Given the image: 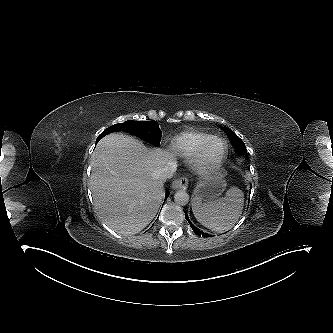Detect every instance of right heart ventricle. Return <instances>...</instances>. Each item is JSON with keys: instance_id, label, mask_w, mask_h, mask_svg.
I'll return each mask as SVG.
<instances>
[{"instance_id": "right-heart-ventricle-1", "label": "right heart ventricle", "mask_w": 333, "mask_h": 333, "mask_svg": "<svg viewBox=\"0 0 333 333\" xmlns=\"http://www.w3.org/2000/svg\"><path fill=\"white\" fill-rule=\"evenodd\" d=\"M210 137L211 135L205 132L185 131L173 138L171 149L181 157L191 158L198 153Z\"/></svg>"}]
</instances>
